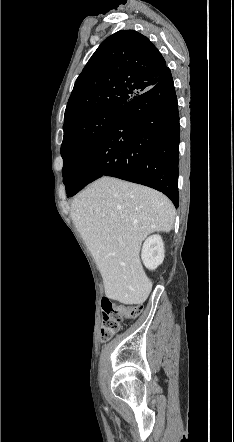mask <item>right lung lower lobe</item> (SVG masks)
<instances>
[{
	"label": "right lung lower lobe",
	"instance_id": "1",
	"mask_svg": "<svg viewBox=\"0 0 234 442\" xmlns=\"http://www.w3.org/2000/svg\"><path fill=\"white\" fill-rule=\"evenodd\" d=\"M179 113L170 69L121 108L104 136L70 172L68 196L103 175L154 188L179 206Z\"/></svg>",
	"mask_w": 234,
	"mask_h": 442
}]
</instances>
